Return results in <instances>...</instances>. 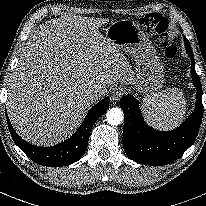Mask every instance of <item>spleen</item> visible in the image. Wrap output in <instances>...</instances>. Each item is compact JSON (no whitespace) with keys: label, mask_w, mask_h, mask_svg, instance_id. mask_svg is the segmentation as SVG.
<instances>
[{"label":"spleen","mask_w":206,"mask_h":206,"mask_svg":"<svg viewBox=\"0 0 206 206\" xmlns=\"http://www.w3.org/2000/svg\"><path fill=\"white\" fill-rule=\"evenodd\" d=\"M145 120L154 128L169 130L177 127L186 112V101L177 88L147 95L142 101Z\"/></svg>","instance_id":"3e777b00"}]
</instances>
